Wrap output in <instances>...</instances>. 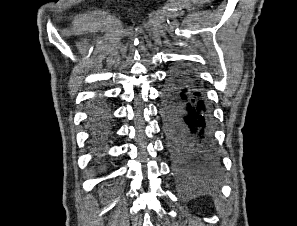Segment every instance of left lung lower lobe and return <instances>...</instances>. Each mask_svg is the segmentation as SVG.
<instances>
[{
  "mask_svg": "<svg viewBox=\"0 0 297 226\" xmlns=\"http://www.w3.org/2000/svg\"><path fill=\"white\" fill-rule=\"evenodd\" d=\"M161 114L176 178L187 185L213 183L218 160L211 142L210 114L202 91L174 69L162 92Z\"/></svg>",
  "mask_w": 297,
  "mask_h": 226,
  "instance_id": "0a47b994",
  "label": "left lung lower lobe"
}]
</instances>
